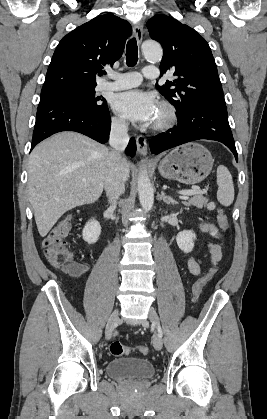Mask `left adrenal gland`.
Here are the masks:
<instances>
[{"mask_svg": "<svg viewBox=\"0 0 267 419\" xmlns=\"http://www.w3.org/2000/svg\"><path fill=\"white\" fill-rule=\"evenodd\" d=\"M160 199L163 200L166 204H177V201L174 200L172 197L165 195V193L162 191L160 195Z\"/></svg>", "mask_w": 267, "mask_h": 419, "instance_id": "1", "label": "left adrenal gland"}]
</instances>
